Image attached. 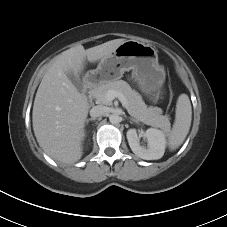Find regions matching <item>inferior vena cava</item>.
<instances>
[{"label":"inferior vena cava","instance_id":"inferior-vena-cava-1","mask_svg":"<svg viewBox=\"0 0 227 227\" xmlns=\"http://www.w3.org/2000/svg\"><path fill=\"white\" fill-rule=\"evenodd\" d=\"M106 113V107L102 106V105H97L94 106L91 110H90V116L92 118H97V117H101Z\"/></svg>","mask_w":227,"mask_h":227}]
</instances>
